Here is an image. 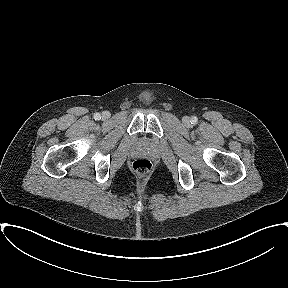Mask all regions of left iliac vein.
<instances>
[{
  "label": "left iliac vein",
  "instance_id": "4c4485c4",
  "mask_svg": "<svg viewBox=\"0 0 288 288\" xmlns=\"http://www.w3.org/2000/svg\"><path fill=\"white\" fill-rule=\"evenodd\" d=\"M183 122H184V124L188 125L189 122H190V120H189L188 117H184V118H183Z\"/></svg>",
  "mask_w": 288,
  "mask_h": 288
}]
</instances>
